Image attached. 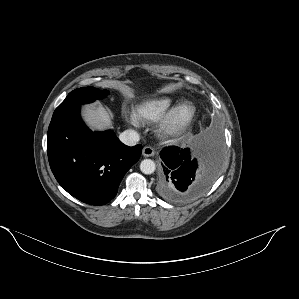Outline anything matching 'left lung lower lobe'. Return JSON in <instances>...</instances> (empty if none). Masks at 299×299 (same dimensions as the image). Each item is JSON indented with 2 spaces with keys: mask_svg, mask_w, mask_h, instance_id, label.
<instances>
[{
  "mask_svg": "<svg viewBox=\"0 0 299 299\" xmlns=\"http://www.w3.org/2000/svg\"><path fill=\"white\" fill-rule=\"evenodd\" d=\"M163 160L157 192L167 201L183 203L205 192L218 176L219 140L199 139L189 148L170 146L160 152Z\"/></svg>",
  "mask_w": 299,
  "mask_h": 299,
  "instance_id": "left-lung-lower-lobe-1",
  "label": "left lung lower lobe"
}]
</instances>
